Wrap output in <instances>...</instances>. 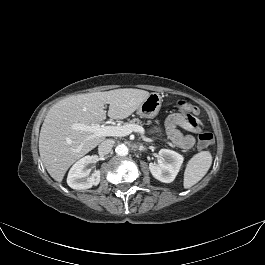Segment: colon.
Masks as SVG:
<instances>
[{
  "label": "colon",
  "mask_w": 265,
  "mask_h": 265,
  "mask_svg": "<svg viewBox=\"0 0 265 265\" xmlns=\"http://www.w3.org/2000/svg\"><path fill=\"white\" fill-rule=\"evenodd\" d=\"M177 106L180 109L191 112V113L197 112V107L194 104H192L186 100L178 101ZM213 143H214V136L210 132H204V133L200 134L198 137L197 145H198L199 149H206V148L210 147Z\"/></svg>",
  "instance_id": "1"
}]
</instances>
